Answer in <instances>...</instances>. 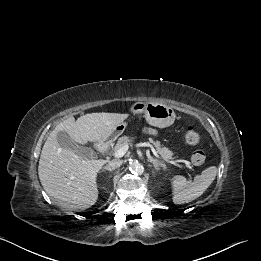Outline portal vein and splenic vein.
<instances>
[{"label": "portal vein and splenic vein", "mask_w": 261, "mask_h": 261, "mask_svg": "<svg viewBox=\"0 0 261 261\" xmlns=\"http://www.w3.org/2000/svg\"><path fill=\"white\" fill-rule=\"evenodd\" d=\"M140 146H146V147H150L151 151L153 152V154L158 157L157 151L154 149L153 145L149 144V143H140ZM129 148V144H125L123 145L121 148H119L117 151L114 152V156L116 158H120L123 157L125 155V153L127 152ZM171 164L178 166L177 161H170Z\"/></svg>", "instance_id": "1"}]
</instances>
